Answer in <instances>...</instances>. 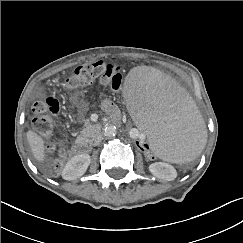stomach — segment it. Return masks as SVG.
<instances>
[{
    "label": "stomach",
    "instance_id": "obj_1",
    "mask_svg": "<svg viewBox=\"0 0 243 243\" xmlns=\"http://www.w3.org/2000/svg\"><path fill=\"white\" fill-rule=\"evenodd\" d=\"M72 101H73L74 104L76 103V101H77V95L76 94L72 96Z\"/></svg>",
    "mask_w": 243,
    "mask_h": 243
}]
</instances>
